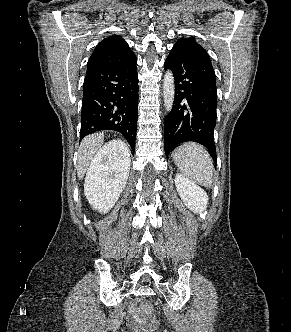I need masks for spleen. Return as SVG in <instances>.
Masks as SVG:
<instances>
[{"instance_id":"1","label":"spleen","mask_w":291,"mask_h":332,"mask_svg":"<svg viewBox=\"0 0 291 332\" xmlns=\"http://www.w3.org/2000/svg\"><path fill=\"white\" fill-rule=\"evenodd\" d=\"M174 162L180 172L190 181L205 187L213 183V161L200 144L187 142L177 148Z\"/></svg>"}]
</instances>
